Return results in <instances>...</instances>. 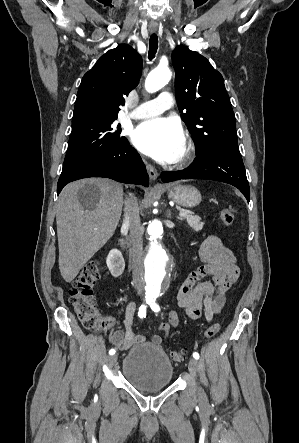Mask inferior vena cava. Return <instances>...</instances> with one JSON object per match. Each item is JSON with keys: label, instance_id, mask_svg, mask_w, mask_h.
Wrapping results in <instances>:
<instances>
[{"label": "inferior vena cava", "instance_id": "obj_1", "mask_svg": "<svg viewBox=\"0 0 299 443\" xmlns=\"http://www.w3.org/2000/svg\"><path fill=\"white\" fill-rule=\"evenodd\" d=\"M124 221L129 227L128 240L132 251L133 285L138 294L143 293V229L140 224L139 207L136 198L130 195L124 202Z\"/></svg>", "mask_w": 299, "mask_h": 443}]
</instances>
